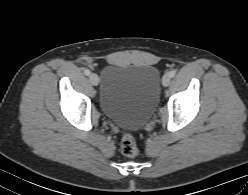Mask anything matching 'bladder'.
I'll use <instances>...</instances> for the list:
<instances>
[{"label": "bladder", "instance_id": "31cf9c89", "mask_svg": "<svg viewBox=\"0 0 248 195\" xmlns=\"http://www.w3.org/2000/svg\"><path fill=\"white\" fill-rule=\"evenodd\" d=\"M160 96V74L152 65H110L101 76L99 102L109 120L137 129L152 116Z\"/></svg>", "mask_w": 248, "mask_h": 195}]
</instances>
